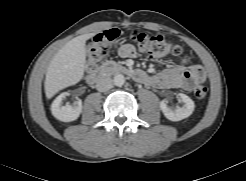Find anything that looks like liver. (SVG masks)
<instances>
[{
    "label": "liver",
    "mask_w": 246,
    "mask_h": 181,
    "mask_svg": "<svg viewBox=\"0 0 246 181\" xmlns=\"http://www.w3.org/2000/svg\"><path fill=\"white\" fill-rule=\"evenodd\" d=\"M95 33L77 36L67 42L51 60L44 83L45 94L52 98L60 90L77 84L84 75L85 43Z\"/></svg>",
    "instance_id": "1"
}]
</instances>
